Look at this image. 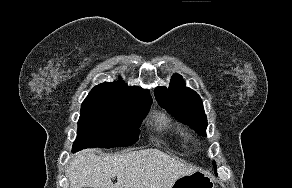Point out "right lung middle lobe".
I'll list each match as a JSON object with an SVG mask.
<instances>
[{
    "label": "right lung middle lobe",
    "instance_id": "obj_1",
    "mask_svg": "<svg viewBox=\"0 0 292 188\" xmlns=\"http://www.w3.org/2000/svg\"><path fill=\"white\" fill-rule=\"evenodd\" d=\"M151 103L125 93L93 88L81 105L73 151L134 144Z\"/></svg>",
    "mask_w": 292,
    "mask_h": 188
}]
</instances>
